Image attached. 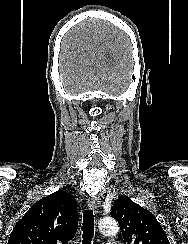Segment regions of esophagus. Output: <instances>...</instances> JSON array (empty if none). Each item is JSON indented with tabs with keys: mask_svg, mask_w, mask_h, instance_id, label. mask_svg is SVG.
Returning <instances> with one entry per match:
<instances>
[{
	"mask_svg": "<svg viewBox=\"0 0 188 244\" xmlns=\"http://www.w3.org/2000/svg\"><path fill=\"white\" fill-rule=\"evenodd\" d=\"M99 205H100V200L97 197H91L88 200V206L90 208L98 209Z\"/></svg>",
	"mask_w": 188,
	"mask_h": 244,
	"instance_id": "obj_1",
	"label": "esophagus"
}]
</instances>
